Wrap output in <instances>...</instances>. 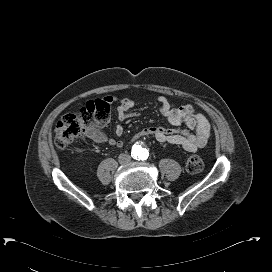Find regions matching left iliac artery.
I'll return each instance as SVG.
<instances>
[{
	"mask_svg": "<svg viewBox=\"0 0 272 272\" xmlns=\"http://www.w3.org/2000/svg\"><path fill=\"white\" fill-rule=\"evenodd\" d=\"M148 158V155L146 156V158L144 157L142 160H145V159H147Z\"/></svg>",
	"mask_w": 272,
	"mask_h": 272,
	"instance_id": "44dca946",
	"label": "left iliac artery"
}]
</instances>
